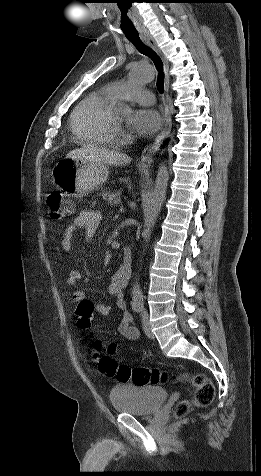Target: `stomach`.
<instances>
[{
  "label": "stomach",
  "mask_w": 261,
  "mask_h": 476,
  "mask_svg": "<svg viewBox=\"0 0 261 476\" xmlns=\"http://www.w3.org/2000/svg\"><path fill=\"white\" fill-rule=\"evenodd\" d=\"M109 173L107 164L66 158L55 166L52 175L58 190H64L65 195L82 196L103 185Z\"/></svg>",
  "instance_id": "stomach-1"
}]
</instances>
